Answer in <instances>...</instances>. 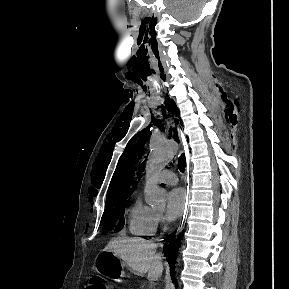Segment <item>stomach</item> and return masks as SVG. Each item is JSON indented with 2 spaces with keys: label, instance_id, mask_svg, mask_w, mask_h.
Masks as SVG:
<instances>
[{
  "label": "stomach",
  "instance_id": "1",
  "mask_svg": "<svg viewBox=\"0 0 289 289\" xmlns=\"http://www.w3.org/2000/svg\"><path fill=\"white\" fill-rule=\"evenodd\" d=\"M111 251L100 252L95 259V270L100 275L118 281L124 276L123 262Z\"/></svg>",
  "mask_w": 289,
  "mask_h": 289
}]
</instances>
